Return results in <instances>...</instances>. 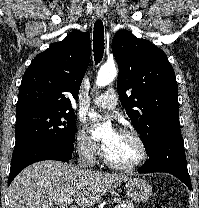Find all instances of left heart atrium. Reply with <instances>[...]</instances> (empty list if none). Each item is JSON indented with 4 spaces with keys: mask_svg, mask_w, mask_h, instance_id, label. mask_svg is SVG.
<instances>
[{
    "mask_svg": "<svg viewBox=\"0 0 199 208\" xmlns=\"http://www.w3.org/2000/svg\"><path fill=\"white\" fill-rule=\"evenodd\" d=\"M113 133H116V132L114 131ZM103 147H104V149H105L106 145H105V144H103Z\"/></svg>",
    "mask_w": 199,
    "mask_h": 208,
    "instance_id": "obj_1",
    "label": "left heart atrium"
}]
</instances>
